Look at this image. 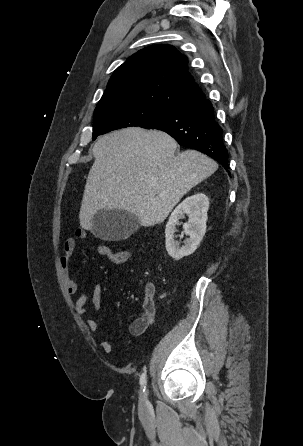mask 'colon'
I'll list each match as a JSON object with an SVG mask.
<instances>
[{"label":"colon","mask_w":303,"mask_h":446,"mask_svg":"<svg viewBox=\"0 0 303 446\" xmlns=\"http://www.w3.org/2000/svg\"><path fill=\"white\" fill-rule=\"evenodd\" d=\"M99 254L106 257L112 263L120 264L125 262L131 256V251L120 250L114 252L107 245L103 244L102 248L99 251Z\"/></svg>","instance_id":"1"}]
</instances>
